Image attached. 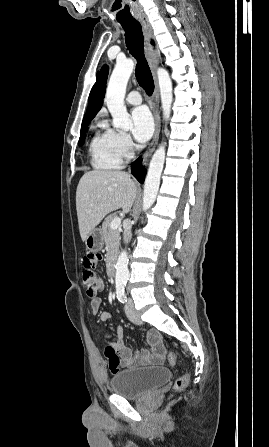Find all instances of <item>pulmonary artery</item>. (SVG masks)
<instances>
[{
  "instance_id": "pulmonary-artery-1",
  "label": "pulmonary artery",
  "mask_w": 269,
  "mask_h": 447,
  "mask_svg": "<svg viewBox=\"0 0 269 447\" xmlns=\"http://www.w3.org/2000/svg\"><path fill=\"white\" fill-rule=\"evenodd\" d=\"M127 103L131 105H138L142 103V96L138 91H131L126 97Z\"/></svg>"
}]
</instances>
